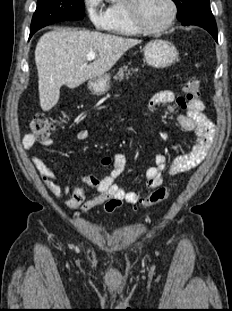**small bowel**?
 I'll return each mask as SVG.
<instances>
[{
	"mask_svg": "<svg viewBox=\"0 0 232 311\" xmlns=\"http://www.w3.org/2000/svg\"><path fill=\"white\" fill-rule=\"evenodd\" d=\"M162 108L167 109L174 116L182 129L193 132L196 141L186 153L171 163H168L165 155L156 154L153 157V165L147 169L145 174L146 186L148 188L160 186L163 180V173L172 175L198 166L210 151L215 136V127L203 113L204 104L201 100L188 101L171 90H160L148 99L147 110L143 114V118L149 112ZM176 108L182 109L184 113H179ZM146 130L152 133L149 127H146ZM87 136L88 132L86 130H78L73 134V138L78 141L85 140ZM38 141L43 146H51L57 143L59 139H38L34 134L27 133L22 139V146L26 151H30ZM32 163L46 187L54 196L67 197L66 205L71 210L87 213L95 206L104 203L105 212L112 213L121 207L122 204H136L142 198L140 193L125 191L115 183L126 166V157L122 153H116L112 157H106L102 160L103 166L111 164L109 174L103 177L88 176L83 184L75 187H62L59 185L56 174L39 156L34 155ZM89 189H95L97 195L90 196Z\"/></svg>",
	"mask_w": 232,
	"mask_h": 311,
	"instance_id": "1",
	"label": "small bowel"
}]
</instances>
